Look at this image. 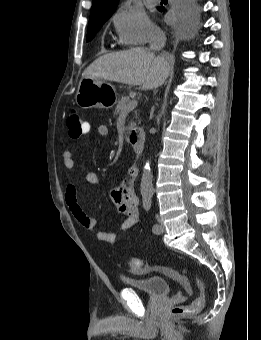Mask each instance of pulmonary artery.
Here are the masks:
<instances>
[{
	"label": "pulmonary artery",
	"instance_id": "pulmonary-artery-1",
	"mask_svg": "<svg viewBox=\"0 0 261 340\" xmlns=\"http://www.w3.org/2000/svg\"><path fill=\"white\" fill-rule=\"evenodd\" d=\"M149 1L155 3V2H158L159 0H149Z\"/></svg>",
	"mask_w": 261,
	"mask_h": 340
}]
</instances>
